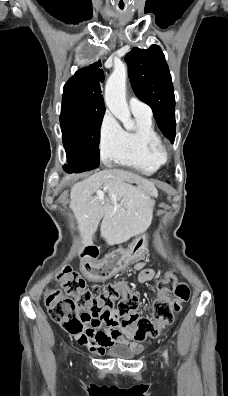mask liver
I'll return each mask as SVG.
<instances>
[{
	"mask_svg": "<svg viewBox=\"0 0 228 396\" xmlns=\"http://www.w3.org/2000/svg\"><path fill=\"white\" fill-rule=\"evenodd\" d=\"M100 188H106L107 192L102 199L93 196ZM148 195H158L152 182L120 169L102 170L74 184L70 193V208L83 241L92 243L101 219L102 230L111 242H120L143 233L152 219L153 209ZM126 223H129V231L125 235Z\"/></svg>",
	"mask_w": 228,
	"mask_h": 396,
	"instance_id": "liver-1",
	"label": "liver"
}]
</instances>
